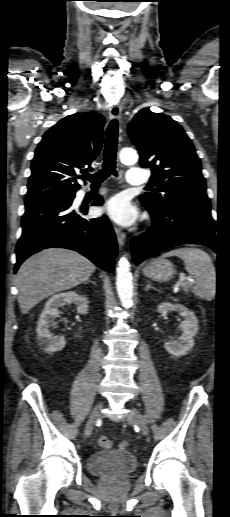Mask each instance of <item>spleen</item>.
<instances>
[{
	"label": "spleen",
	"instance_id": "spleen-1",
	"mask_svg": "<svg viewBox=\"0 0 230 517\" xmlns=\"http://www.w3.org/2000/svg\"><path fill=\"white\" fill-rule=\"evenodd\" d=\"M178 256L184 260L186 271L195 277L192 292L199 298L212 300L216 294V269L210 256L198 248H179L162 257Z\"/></svg>",
	"mask_w": 230,
	"mask_h": 517
}]
</instances>
